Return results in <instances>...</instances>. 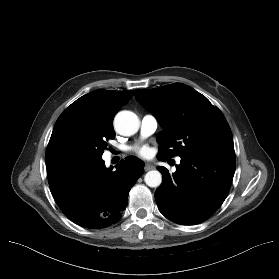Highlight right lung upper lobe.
Returning <instances> with one entry per match:
<instances>
[{
    "label": "right lung upper lobe",
    "instance_id": "cb5924a9",
    "mask_svg": "<svg viewBox=\"0 0 279 279\" xmlns=\"http://www.w3.org/2000/svg\"><path fill=\"white\" fill-rule=\"evenodd\" d=\"M133 91L97 90L90 92L68 106L61 115L82 114L106 130H113V118L127 104Z\"/></svg>",
    "mask_w": 279,
    "mask_h": 279
}]
</instances>
